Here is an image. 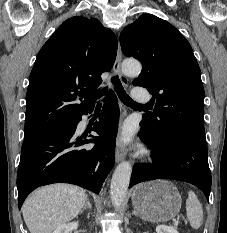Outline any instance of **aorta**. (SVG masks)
I'll return each instance as SVG.
<instances>
[{
    "label": "aorta",
    "mask_w": 227,
    "mask_h": 233,
    "mask_svg": "<svg viewBox=\"0 0 227 233\" xmlns=\"http://www.w3.org/2000/svg\"><path fill=\"white\" fill-rule=\"evenodd\" d=\"M142 66L136 60H126L122 64L125 75L135 77L141 73ZM132 166L129 162H121L115 169L110 185V197L115 208L119 209L124 202L130 183Z\"/></svg>",
    "instance_id": "aorta-1"
}]
</instances>
